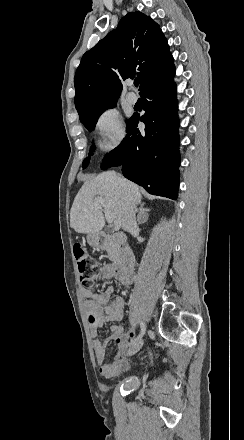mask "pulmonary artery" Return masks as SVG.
I'll use <instances>...</instances> for the list:
<instances>
[{
	"instance_id": "obj_1",
	"label": "pulmonary artery",
	"mask_w": 244,
	"mask_h": 440,
	"mask_svg": "<svg viewBox=\"0 0 244 440\" xmlns=\"http://www.w3.org/2000/svg\"><path fill=\"white\" fill-rule=\"evenodd\" d=\"M126 99H127V101H128L129 103L134 104V103L137 101V96H136L135 93H133V92H129V93L126 95Z\"/></svg>"
}]
</instances>
